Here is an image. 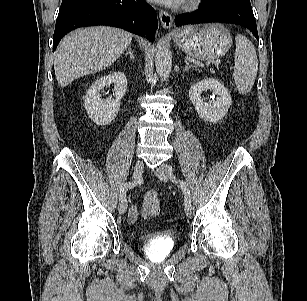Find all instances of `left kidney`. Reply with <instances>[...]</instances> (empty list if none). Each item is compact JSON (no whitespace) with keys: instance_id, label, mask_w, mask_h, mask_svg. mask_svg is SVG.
<instances>
[{"instance_id":"left-kidney-1","label":"left kidney","mask_w":307,"mask_h":301,"mask_svg":"<svg viewBox=\"0 0 307 301\" xmlns=\"http://www.w3.org/2000/svg\"><path fill=\"white\" fill-rule=\"evenodd\" d=\"M207 90L217 95L216 100L204 101L201 94ZM189 99L195 106L198 115L203 120L209 122H217L222 119L232 104L231 96L227 88L219 80L214 78H204L192 85L189 90Z\"/></svg>"}]
</instances>
